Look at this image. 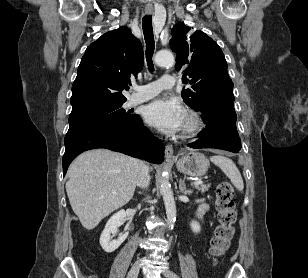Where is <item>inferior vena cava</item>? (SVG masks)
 <instances>
[{"label":"inferior vena cava","mask_w":308,"mask_h":278,"mask_svg":"<svg viewBox=\"0 0 308 278\" xmlns=\"http://www.w3.org/2000/svg\"><path fill=\"white\" fill-rule=\"evenodd\" d=\"M150 183L149 167L143 163L142 169L138 174L137 185L142 188H147Z\"/></svg>","instance_id":"obj_1"}]
</instances>
